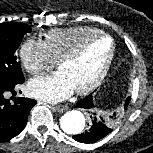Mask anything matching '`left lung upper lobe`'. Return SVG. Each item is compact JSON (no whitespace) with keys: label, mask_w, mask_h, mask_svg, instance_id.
<instances>
[{"label":"left lung upper lobe","mask_w":153,"mask_h":153,"mask_svg":"<svg viewBox=\"0 0 153 153\" xmlns=\"http://www.w3.org/2000/svg\"><path fill=\"white\" fill-rule=\"evenodd\" d=\"M120 115H121V110H117L116 112H113L112 116H110L109 118H106L107 123L111 127H113L116 124V122H117L118 118L120 117Z\"/></svg>","instance_id":"left-lung-upper-lobe-1"}]
</instances>
